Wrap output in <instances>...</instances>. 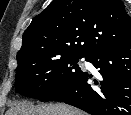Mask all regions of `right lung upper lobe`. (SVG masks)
<instances>
[{
  "mask_svg": "<svg viewBox=\"0 0 131 115\" xmlns=\"http://www.w3.org/2000/svg\"><path fill=\"white\" fill-rule=\"evenodd\" d=\"M18 67L58 53L86 59L131 45V18L121 0H53L22 38Z\"/></svg>",
  "mask_w": 131,
  "mask_h": 115,
  "instance_id": "obj_1",
  "label": "right lung upper lobe"
}]
</instances>
